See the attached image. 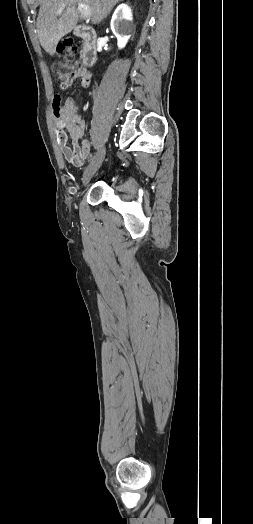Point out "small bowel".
<instances>
[{
	"instance_id": "small-bowel-1",
	"label": "small bowel",
	"mask_w": 253,
	"mask_h": 524,
	"mask_svg": "<svg viewBox=\"0 0 253 524\" xmlns=\"http://www.w3.org/2000/svg\"><path fill=\"white\" fill-rule=\"evenodd\" d=\"M57 99L56 97L55 101ZM54 120L57 141L63 158L73 166L83 165L90 154L91 145L89 141L82 140L86 123L80 116L78 104L71 98L67 99L61 103L59 112L54 113ZM68 138L71 140V146L67 144Z\"/></svg>"
}]
</instances>
